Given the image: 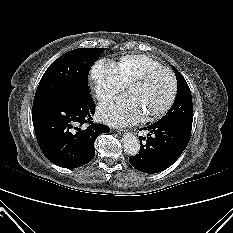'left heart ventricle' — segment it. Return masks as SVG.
I'll return each instance as SVG.
<instances>
[{
  "label": "left heart ventricle",
  "instance_id": "b2bd125f",
  "mask_svg": "<svg viewBox=\"0 0 233 233\" xmlns=\"http://www.w3.org/2000/svg\"><path fill=\"white\" fill-rule=\"evenodd\" d=\"M171 92L170 76L164 71L152 74L144 83L128 87V93L134 95L144 114L161 108Z\"/></svg>",
  "mask_w": 233,
  "mask_h": 233
}]
</instances>
